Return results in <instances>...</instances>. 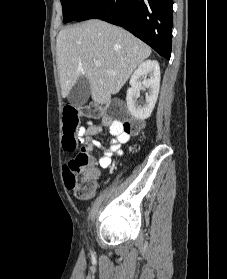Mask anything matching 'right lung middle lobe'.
Wrapping results in <instances>:
<instances>
[{
  "label": "right lung middle lobe",
  "instance_id": "obj_1",
  "mask_svg": "<svg viewBox=\"0 0 227 279\" xmlns=\"http://www.w3.org/2000/svg\"><path fill=\"white\" fill-rule=\"evenodd\" d=\"M91 0H61L64 23L73 21Z\"/></svg>",
  "mask_w": 227,
  "mask_h": 279
}]
</instances>
